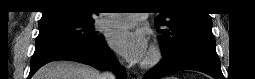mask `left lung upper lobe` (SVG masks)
<instances>
[{"label": "left lung upper lobe", "instance_id": "5c2ea615", "mask_svg": "<svg viewBox=\"0 0 255 79\" xmlns=\"http://www.w3.org/2000/svg\"><path fill=\"white\" fill-rule=\"evenodd\" d=\"M159 14L155 25L160 27L158 37L163 56L177 50L183 44L197 39H214L212 20L207 13L200 11L180 12L176 8L165 7L172 1H156Z\"/></svg>", "mask_w": 255, "mask_h": 79}]
</instances>
